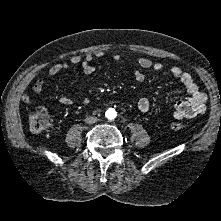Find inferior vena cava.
<instances>
[{"mask_svg":"<svg viewBox=\"0 0 221 221\" xmlns=\"http://www.w3.org/2000/svg\"><path fill=\"white\" fill-rule=\"evenodd\" d=\"M97 121H98V118L95 117V116H88V117L85 118V122L87 124H94Z\"/></svg>","mask_w":221,"mask_h":221,"instance_id":"1","label":"inferior vena cava"}]
</instances>
